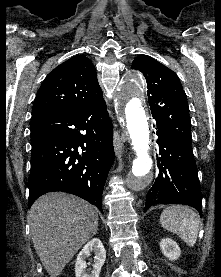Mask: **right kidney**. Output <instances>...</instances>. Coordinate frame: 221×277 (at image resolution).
Instances as JSON below:
<instances>
[{"label": "right kidney", "mask_w": 221, "mask_h": 277, "mask_svg": "<svg viewBox=\"0 0 221 277\" xmlns=\"http://www.w3.org/2000/svg\"><path fill=\"white\" fill-rule=\"evenodd\" d=\"M90 252L94 253V266L91 272H87L86 257L90 255ZM106 260V251L99 238H93L90 240L80 251L77 256L75 264L76 277H99L101 267Z\"/></svg>", "instance_id": "obj_1"}]
</instances>
